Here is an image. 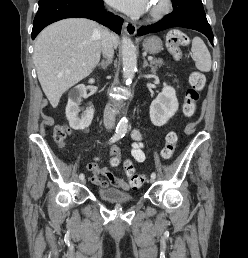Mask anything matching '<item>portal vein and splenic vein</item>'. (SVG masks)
<instances>
[{"mask_svg":"<svg viewBox=\"0 0 248 258\" xmlns=\"http://www.w3.org/2000/svg\"><path fill=\"white\" fill-rule=\"evenodd\" d=\"M148 60H149V61H152V60H153V57H152V56H149V57H148Z\"/></svg>","mask_w":248,"mask_h":258,"instance_id":"obj_1","label":"portal vein and splenic vein"}]
</instances>
